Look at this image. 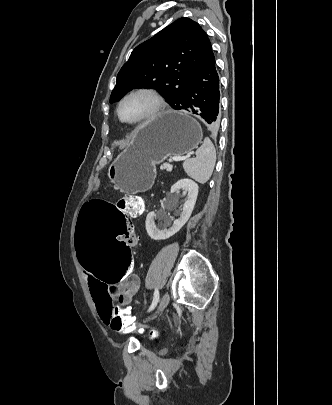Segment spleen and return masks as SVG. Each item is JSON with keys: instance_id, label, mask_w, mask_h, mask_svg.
I'll return each instance as SVG.
<instances>
[{"instance_id": "obj_1", "label": "spleen", "mask_w": 332, "mask_h": 405, "mask_svg": "<svg viewBox=\"0 0 332 405\" xmlns=\"http://www.w3.org/2000/svg\"><path fill=\"white\" fill-rule=\"evenodd\" d=\"M216 162V151L212 141L206 137L202 145L196 150V158L187 159L183 163L186 174L193 180L204 184L214 170Z\"/></svg>"}]
</instances>
